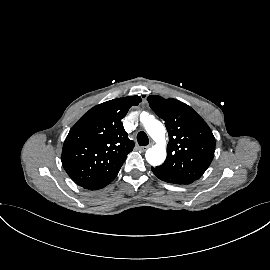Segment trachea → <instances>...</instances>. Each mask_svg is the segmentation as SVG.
<instances>
[{
  "label": "trachea",
  "mask_w": 270,
  "mask_h": 270,
  "mask_svg": "<svg viewBox=\"0 0 270 270\" xmlns=\"http://www.w3.org/2000/svg\"><path fill=\"white\" fill-rule=\"evenodd\" d=\"M137 141L140 146H146L149 143L148 136L145 132L140 131L137 135Z\"/></svg>",
  "instance_id": "trachea-1"
}]
</instances>
